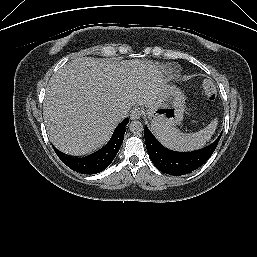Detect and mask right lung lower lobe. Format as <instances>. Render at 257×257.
<instances>
[{"mask_svg":"<svg viewBox=\"0 0 257 257\" xmlns=\"http://www.w3.org/2000/svg\"><path fill=\"white\" fill-rule=\"evenodd\" d=\"M128 118L124 119L114 130L109 142L98 151L82 157L72 158L54 148L61 161L74 171L82 174H96L103 171L115 158L124 139Z\"/></svg>","mask_w":257,"mask_h":257,"instance_id":"obj_1","label":"right lung lower lobe"}]
</instances>
